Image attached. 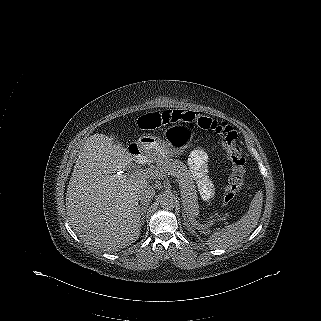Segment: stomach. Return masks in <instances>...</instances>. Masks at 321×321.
<instances>
[{
	"label": "stomach",
	"instance_id": "stomach-1",
	"mask_svg": "<svg viewBox=\"0 0 321 321\" xmlns=\"http://www.w3.org/2000/svg\"><path fill=\"white\" fill-rule=\"evenodd\" d=\"M163 136V140L154 136H141L136 146L140 151L157 158H164L182 153L192 140L190 132L183 125L167 127Z\"/></svg>",
	"mask_w": 321,
	"mask_h": 321
}]
</instances>
